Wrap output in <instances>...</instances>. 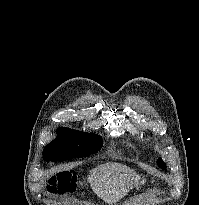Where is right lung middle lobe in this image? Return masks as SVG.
Masks as SVG:
<instances>
[{
  "instance_id": "obj_1",
  "label": "right lung middle lobe",
  "mask_w": 199,
  "mask_h": 205,
  "mask_svg": "<svg viewBox=\"0 0 199 205\" xmlns=\"http://www.w3.org/2000/svg\"><path fill=\"white\" fill-rule=\"evenodd\" d=\"M57 137L43 151L47 163L84 157L97 152L102 145V138L97 134L86 133L60 127Z\"/></svg>"
}]
</instances>
